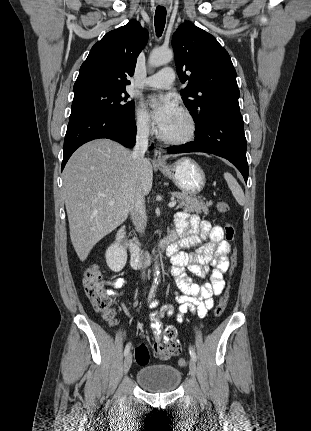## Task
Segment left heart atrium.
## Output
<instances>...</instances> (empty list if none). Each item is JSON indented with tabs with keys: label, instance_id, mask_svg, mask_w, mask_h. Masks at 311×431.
Listing matches in <instances>:
<instances>
[{
	"label": "left heart atrium",
	"instance_id": "39dd6f15",
	"mask_svg": "<svg viewBox=\"0 0 311 431\" xmlns=\"http://www.w3.org/2000/svg\"><path fill=\"white\" fill-rule=\"evenodd\" d=\"M152 116L161 132L176 119L181 112L178 100L171 95L152 97L148 101Z\"/></svg>",
	"mask_w": 311,
	"mask_h": 431
}]
</instances>
